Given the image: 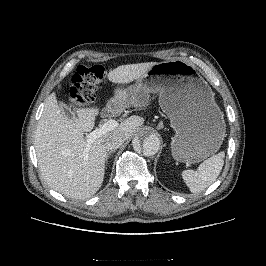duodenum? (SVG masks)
<instances>
[{
	"label": "duodenum",
	"instance_id": "duodenum-1",
	"mask_svg": "<svg viewBox=\"0 0 266 266\" xmlns=\"http://www.w3.org/2000/svg\"><path fill=\"white\" fill-rule=\"evenodd\" d=\"M114 114H115V112H114L113 109H108V110L106 111V115H107V116H112V115H114Z\"/></svg>",
	"mask_w": 266,
	"mask_h": 266
}]
</instances>
